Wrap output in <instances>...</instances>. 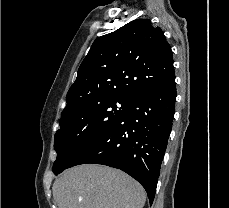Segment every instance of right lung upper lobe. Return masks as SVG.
<instances>
[{"mask_svg": "<svg viewBox=\"0 0 229 208\" xmlns=\"http://www.w3.org/2000/svg\"><path fill=\"white\" fill-rule=\"evenodd\" d=\"M173 75L172 50L161 28L149 19L133 20L94 41L67 93L61 117L106 96L135 99Z\"/></svg>", "mask_w": 229, "mask_h": 208, "instance_id": "right-lung-upper-lobe-1", "label": "right lung upper lobe"}]
</instances>
